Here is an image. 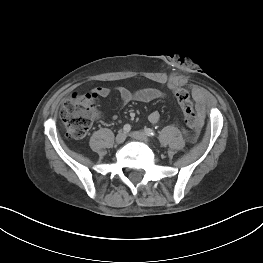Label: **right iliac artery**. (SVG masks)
Instances as JSON below:
<instances>
[{
    "label": "right iliac artery",
    "instance_id": "82829eb1",
    "mask_svg": "<svg viewBox=\"0 0 263 263\" xmlns=\"http://www.w3.org/2000/svg\"><path fill=\"white\" fill-rule=\"evenodd\" d=\"M131 130V126L129 124L124 125L123 131L124 133H128Z\"/></svg>",
    "mask_w": 263,
    "mask_h": 263
}]
</instances>
